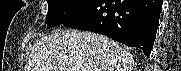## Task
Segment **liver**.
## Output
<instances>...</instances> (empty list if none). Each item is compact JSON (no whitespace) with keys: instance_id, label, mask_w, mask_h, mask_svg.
<instances>
[{"instance_id":"6515ba94","label":"liver","mask_w":181,"mask_h":71,"mask_svg":"<svg viewBox=\"0 0 181 71\" xmlns=\"http://www.w3.org/2000/svg\"><path fill=\"white\" fill-rule=\"evenodd\" d=\"M133 65L131 54L110 38L66 29L34 43L28 71H132Z\"/></svg>"}]
</instances>
